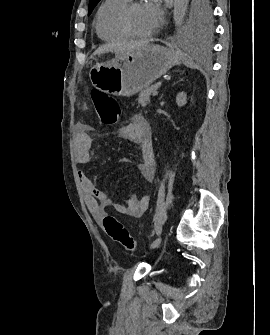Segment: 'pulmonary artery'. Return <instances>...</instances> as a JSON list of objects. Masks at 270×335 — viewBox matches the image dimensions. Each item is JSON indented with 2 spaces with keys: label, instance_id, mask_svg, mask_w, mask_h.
Wrapping results in <instances>:
<instances>
[{
  "label": "pulmonary artery",
  "instance_id": "pulmonary-artery-1",
  "mask_svg": "<svg viewBox=\"0 0 270 335\" xmlns=\"http://www.w3.org/2000/svg\"><path fill=\"white\" fill-rule=\"evenodd\" d=\"M123 2H126V3H132L133 0H122Z\"/></svg>",
  "mask_w": 270,
  "mask_h": 335
}]
</instances>
